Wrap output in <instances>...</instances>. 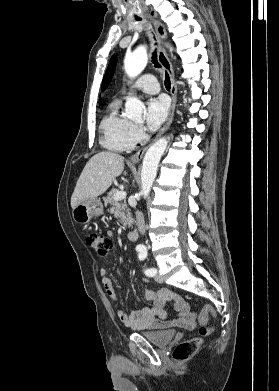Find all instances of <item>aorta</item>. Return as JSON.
<instances>
[{"instance_id":"aorta-1","label":"aorta","mask_w":279,"mask_h":391,"mask_svg":"<svg viewBox=\"0 0 279 391\" xmlns=\"http://www.w3.org/2000/svg\"><path fill=\"white\" fill-rule=\"evenodd\" d=\"M147 49L145 46L137 47L124 59V69L130 78L137 77L146 67ZM144 104L137 98H129L125 103V115L133 120L141 119ZM169 138L162 137L154 142L146 151L141 170V192L147 198L157 175L158 165L164 154Z\"/></svg>"}]
</instances>
